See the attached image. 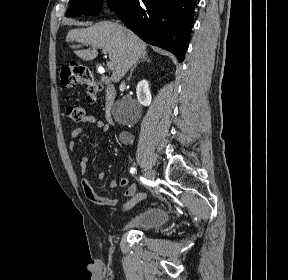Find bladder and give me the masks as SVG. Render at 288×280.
Returning a JSON list of instances; mask_svg holds the SVG:
<instances>
[{
    "label": "bladder",
    "mask_w": 288,
    "mask_h": 280,
    "mask_svg": "<svg viewBox=\"0 0 288 280\" xmlns=\"http://www.w3.org/2000/svg\"><path fill=\"white\" fill-rule=\"evenodd\" d=\"M170 218L169 212L161 207L145 209L126 222L127 229H150L165 224Z\"/></svg>",
    "instance_id": "obj_1"
}]
</instances>
